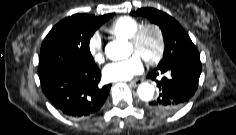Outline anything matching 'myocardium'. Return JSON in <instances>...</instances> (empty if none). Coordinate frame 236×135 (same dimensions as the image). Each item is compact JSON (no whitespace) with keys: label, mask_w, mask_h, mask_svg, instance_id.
<instances>
[{"label":"myocardium","mask_w":236,"mask_h":135,"mask_svg":"<svg viewBox=\"0 0 236 135\" xmlns=\"http://www.w3.org/2000/svg\"><path fill=\"white\" fill-rule=\"evenodd\" d=\"M153 31L157 36L158 46L155 54L151 57L142 56V59L150 65L157 64L163 58L166 42L163 30L161 27L155 23H145L142 24L137 31L134 33L133 37L129 40L135 53L140 55L142 44L147 32Z\"/></svg>","instance_id":"obj_1"}]
</instances>
